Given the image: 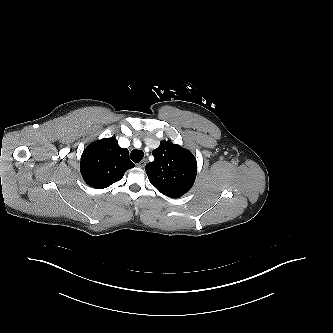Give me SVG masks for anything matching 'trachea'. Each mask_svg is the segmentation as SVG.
<instances>
[{
	"label": "trachea",
	"mask_w": 333,
	"mask_h": 333,
	"mask_svg": "<svg viewBox=\"0 0 333 333\" xmlns=\"http://www.w3.org/2000/svg\"><path fill=\"white\" fill-rule=\"evenodd\" d=\"M130 157L133 162L139 163L144 157V152L142 150H133Z\"/></svg>",
	"instance_id": "3493384b"
}]
</instances>
